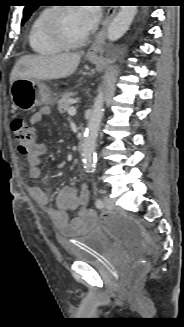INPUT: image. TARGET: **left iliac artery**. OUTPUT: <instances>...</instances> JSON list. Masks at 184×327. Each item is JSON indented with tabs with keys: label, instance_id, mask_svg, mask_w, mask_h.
I'll list each match as a JSON object with an SVG mask.
<instances>
[{
	"label": "left iliac artery",
	"instance_id": "1",
	"mask_svg": "<svg viewBox=\"0 0 184 327\" xmlns=\"http://www.w3.org/2000/svg\"><path fill=\"white\" fill-rule=\"evenodd\" d=\"M96 207L102 208L104 206V203L101 199H97L95 202Z\"/></svg>",
	"mask_w": 184,
	"mask_h": 327
}]
</instances>
